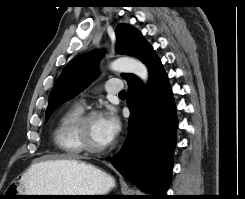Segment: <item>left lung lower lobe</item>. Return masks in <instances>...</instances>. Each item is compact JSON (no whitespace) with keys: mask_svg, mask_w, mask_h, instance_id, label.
<instances>
[{"mask_svg":"<svg viewBox=\"0 0 245 199\" xmlns=\"http://www.w3.org/2000/svg\"><path fill=\"white\" fill-rule=\"evenodd\" d=\"M145 64L150 74L149 94L144 96L136 76L127 81L129 134L119 153L108 160L125 178L151 193V198H160L171 180L177 121L168 76L154 51Z\"/></svg>","mask_w":245,"mask_h":199,"instance_id":"left-lung-lower-lobe-1","label":"left lung lower lobe"}]
</instances>
